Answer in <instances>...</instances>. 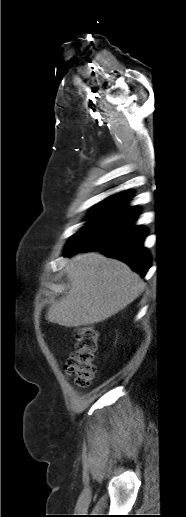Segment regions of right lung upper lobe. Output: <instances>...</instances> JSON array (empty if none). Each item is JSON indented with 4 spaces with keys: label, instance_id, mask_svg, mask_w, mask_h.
<instances>
[{
    "label": "right lung upper lobe",
    "instance_id": "1",
    "mask_svg": "<svg viewBox=\"0 0 186 517\" xmlns=\"http://www.w3.org/2000/svg\"><path fill=\"white\" fill-rule=\"evenodd\" d=\"M130 196H131L130 192H120V193L114 194L112 196H109L108 198H106L103 201H108V202L117 204V203L129 198Z\"/></svg>",
    "mask_w": 186,
    "mask_h": 517
}]
</instances>
